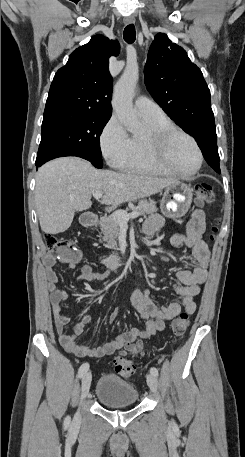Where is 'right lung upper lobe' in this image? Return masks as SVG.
<instances>
[{
	"mask_svg": "<svg viewBox=\"0 0 245 457\" xmlns=\"http://www.w3.org/2000/svg\"><path fill=\"white\" fill-rule=\"evenodd\" d=\"M119 51L117 41L100 35L77 48L55 74L44 113L71 110L111 115L109 58Z\"/></svg>",
	"mask_w": 245,
	"mask_h": 457,
	"instance_id": "right-lung-upper-lobe-1",
	"label": "right lung upper lobe"
}]
</instances>
